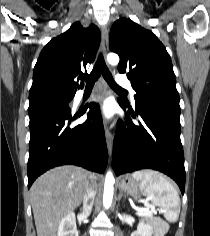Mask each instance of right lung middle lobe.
Instances as JSON below:
<instances>
[{
  "label": "right lung middle lobe",
  "mask_w": 210,
  "mask_h": 236,
  "mask_svg": "<svg viewBox=\"0 0 210 236\" xmlns=\"http://www.w3.org/2000/svg\"><path fill=\"white\" fill-rule=\"evenodd\" d=\"M74 94L55 90L40 91L34 95L33 99L29 100L28 113L31 114L55 106H68Z\"/></svg>",
  "instance_id": "dd1d6c3e"
}]
</instances>
